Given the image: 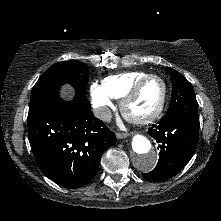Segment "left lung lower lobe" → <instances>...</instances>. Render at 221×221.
<instances>
[{
	"mask_svg": "<svg viewBox=\"0 0 221 221\" xmlns=\"http://www.w3.org/2000/svg\"><path fill=\"white\" fill-rule=\"evenodd\" d=\"M160 148L157 166L142 176L151 181L163 182L180 172L196 150L199 124L186 116L163 118L148 129Z\"/></svg>",
	"mask_w": 221,
	"mask_h": 221,
	"instance_id": "left-lung-lower-lobe-1",
	"label": "left lung lower lobe"
}]
</instances>
